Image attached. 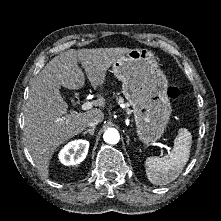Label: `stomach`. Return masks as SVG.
I'll list each match as a JSON object with an SVG mask.
<instances>
[{
  "instance_id": "0dacf381",
  "label": "stomach",
  "mask_w": 221,
  "mask_h": 221,
  "mask_svg": "<svg viewBox=\"0 0 221 221\" xmlns=\"http://www.w3.org/2000/svg\"><path fill=\"white\" fill-rule=\"evenodd\" d=\"M112 70L132 107L137 135L148 147L162 137L170 119L167 77L147 49H131L112 64Z\"/></svg>"
}]
</instances>
